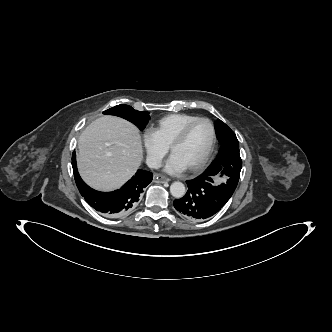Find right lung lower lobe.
I'll list each match as a JSON object with an SVG mask.
<instances>
[{
  "mask_svg": "<svg viewBox=\"0 0 332 332\" xmlns=\"http://www.w3.org/2000/svg\"><path fill=\"white\" fill-rule=\"evenodd\" d=\"M72 154V167L76 185L85 201L106 217L114 218L131 212L141 199L143 188L152 181V173L139 169L126 184L113 192H99L84 183Z\"/></svg>",
  "mask_w": 332,
  "mask_h": 332,
  "instance_id": "obj_1",
  "label": "right lung lower lobe"
}]
</instances>
